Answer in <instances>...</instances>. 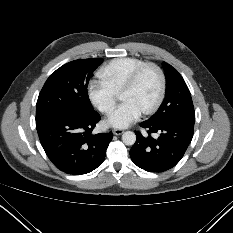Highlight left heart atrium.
<instances>
[{
	"label": "left heart atrium",
	"mask_w": 233,
	"mask_h": 233,
	"mask_svg": "<svg viewBox=\"0 0 233 233\" xmlns=\"http://www.w3.org/2000/svg\"><path fill=\"white\" fill-rule=\"evenodd\" d=\"M143 110L132 101H124L108 117L107 124L116 128H125L142 115Z\"/></svg>",
	"instance_id": "1"
}]
</instances>
